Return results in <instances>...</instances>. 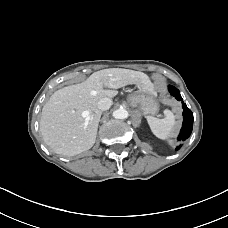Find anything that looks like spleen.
I'll use <instances>...</instances> for the list:
<instances>
[{
    "label": "spleen",
    "instance_id": "obj_1",
    "mask_svg": "<svg viewBox=\"0 0 228 228\" xmlns=\"http://www.w3.org/2000/svg\"><path fill=\"white\" fill-rule=\"evenodd\" d=\"M147 122L153 134L160 139L169 138L176 125L175 116L172 112H166L163 118L147 116Z\"/></svg>",
    "mask_w": 228,
    "mask_h": 228
}]
</instances>
